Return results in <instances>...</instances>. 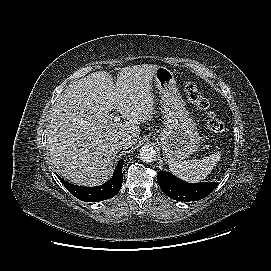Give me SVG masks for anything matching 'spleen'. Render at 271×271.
Masks as SVG:
<instances>
[{
    "label": "spleen",
    "mask_w": 271,
    "mask_h": 271,
    "mask_svg": "<svg viewBox=\"0 0 271 271\" xmlns=\"http://www.w3.org/2000/svg\"><path fill=\"white\" fill-rule=\"evenodd\" d=\"M221 152H216L198 160L175 161L169 163V170L184 181L197 183L203 181L220 161Z\"/></svg>",
    "instance_id": "obj_1"
}]
</instances>
